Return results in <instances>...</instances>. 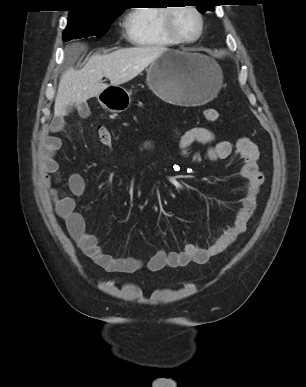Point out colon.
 I'll list each match as a JSON object with an SVG mask.
<instances>
[{
	"label": "colon",
	"mask_w": 306,
	"mask_h": 387,
	"mask_svg": "<svg viewBox=\"0 0 306 387\" xmlns=\"http://www.w3.org/2000/svg\"><path fill=\"white\" fill-rule=\"evenodd\" d=\"M203 117L208 122H215L219 118V113L217 110L209 108L203 111ZM98 138L100 143L105 146H110L112 144V135L110 131L103 126L98 129Z\"/></svg>",
	"instance_id": "5ec220e1"
}]
</instances>
